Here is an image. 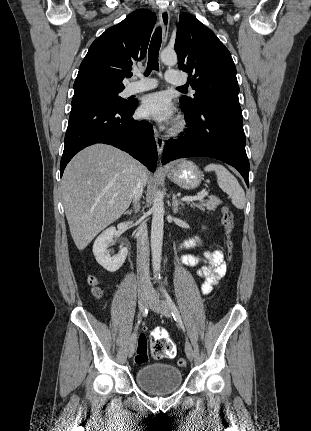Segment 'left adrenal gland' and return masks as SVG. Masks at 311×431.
I'll use <instances>...</instances> for the list:
<instances>
[{
	"mask_svg": "<svg viewBox=\"0 0 311 431\" xmlns=\"http://www.w3.org/2000/svg\"><path fill=\"white\" fill-rule=\"evenodd\" d=\"M172 208H173V214H178L179 210H182L183 204L179 202L178 198H176L175 194L172 196ZM183 216V214H181Z\"/></svg>",
	"mask_w": 311,
	"mask_h": 431,
	"instance_id": "obj_1",
	"label": "left adrenal gland"
}]
</instances>
